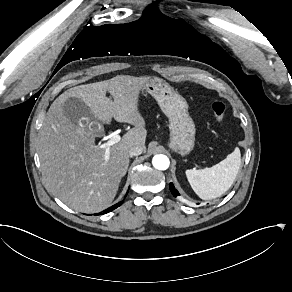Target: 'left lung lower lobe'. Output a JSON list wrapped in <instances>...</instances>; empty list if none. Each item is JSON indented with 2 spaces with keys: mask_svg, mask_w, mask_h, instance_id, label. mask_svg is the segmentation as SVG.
Returning <instances> with one entry per match:
<instances>
[{
  "mask_svg": "<svg viewBox=\"0 0 292 292\" xmlns=\"http://www.w3.org/2000/svg\"><path fill=\"white\" fill-rule=\"evenodd\" d=\"M169 188L171 193L176 197L179 195L178 191L175 189L174 185L172 183L169 184Z\"/></svg>",
  "mask_w": 292,
  "mask_h": 292,
  "instance_id": "0a47b994",
  "label": "left lung lower lobe"
}]
</instances>
